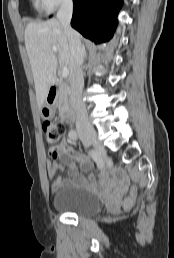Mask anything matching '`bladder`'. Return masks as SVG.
<instances>
[{
  "mask_svg": "<svg viewBox=\"0 0 174 258\" xmlns=\"http://www.w3.org/2000/svg\"><path fill=\"white\" fill-rule=\"evenodd\" d=\"M52 207L77 216H93L101 211L102 204L90 189L65 182L54 195Z\"/></svg>",
  "mask_w": 174,
  "mask_h": 258,
  "instance_id": "31cf9c89",
  "label": "bladder"
}]
</instances>
